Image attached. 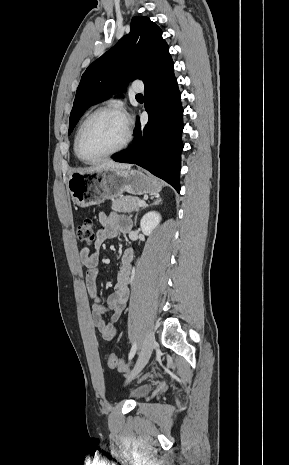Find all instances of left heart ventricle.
<instances>
[{
	"label": "left heart ventricle",
	"mask_w": 289,
	"mask_h": 465,
	"mask_svg": "<svg viewBox=\"0 0 289 465\" xmlns=\"http://www.w3.org/2000/svg\"><path fill=\"white\" fill-rule=\"evenodd\" d=\"M126 135L125 120L116 114L101 113L87 124L81 149L87 158L98 157L118 147Z\"/></svg>",
	"instance_id": "b2bd125f"
}]
</instances>
